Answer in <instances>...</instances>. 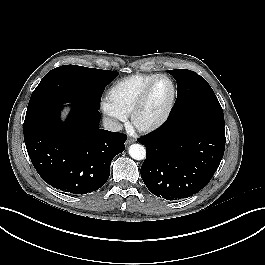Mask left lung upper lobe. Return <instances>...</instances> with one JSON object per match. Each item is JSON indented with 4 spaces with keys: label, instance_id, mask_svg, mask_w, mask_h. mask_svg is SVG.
I'll return each mask as SVG.
<instances>
[{
    "label": "left lung upper lobe",
    "instance_id": "left-lung-upper-lobe-1",
    "mask_svg": "<svg viewBox=\"0 0 265 265\" xmlns=\"http://www.w3.org/2000/svg\"><path fill=\"white\" fill-rule=\"evenodd\" d=\"M168 72L177 81V100L168 120L199 118L224 125L221 105L203 77L187 69Z\"/></svg>",
    "mask_w": 265,
    "mask_h": 265
}]
</instances>
